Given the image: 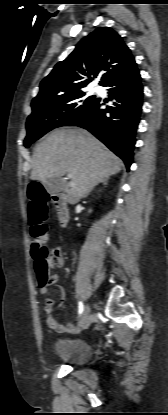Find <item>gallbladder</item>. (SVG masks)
<instances>
[{"label": "gallbladder", "instance_id": "bac80fb5", "mask_svg": "<svg viewBox=\"0 0 168 415\" xmlns=\"http://www.w3.org/2000/svg\"><path fill=\"white\" fill-rule=\"evenodd\" d=\"M43 185L49 193H58L64 189L63 179L57 176L51 177L43 181Z\"/></svg>", "mask_w": 168, "mask_h": 415}]
</instances>
